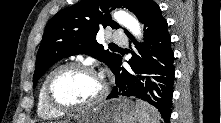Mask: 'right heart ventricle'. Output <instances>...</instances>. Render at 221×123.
I'll list each match as a JSON object with an SVG mask.
<instances>
[{
    "mask_svg": "<svg viewBox=\"0 0 221 123\" xmlns=\"http://www.w3.org/2000/svg\"><path fill=\"white\" fill-rule=\"evenodd\" d=\"M45 81L46 79L43 81L40 87L39 93H38V105H37L38 115L41 118L47 119V120L58 119L62 117L64 113L55 110L46 101L45 94H44Z\"/></svg>",
    "mask_w": 221,
    "mask_h": 123,
    "instance_id": "obj_1",
    "label": "right heart ventricle"
}]
</instances>
